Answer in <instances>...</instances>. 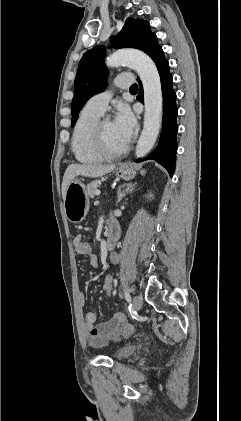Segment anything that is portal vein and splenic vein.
<instances>
[{
	"label": "portal vein and splenic vein",
	"mask_w": 241,
	"mask_h": 421,
	"mask_svg": "<svg viewBox=\"0 0 241 421\" xmlns=\"http://www.w3.org/2000/svg\"><path fill=\"white\" fill-rule=\"evenodd\" d=\"M100 194H101L100 190H97V191L95 192V195H97V196H99Z\"/></svg>",
	"instance_id": "1"
}]
</instances>
